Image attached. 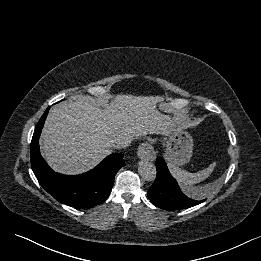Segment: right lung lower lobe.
Returning <instances> with one entry per match:
<instances>
[{
    "label": "right lung lower lobe",
    "mask_w": 261,
    "mask_h": 261,
    "mask_svg": "<svg viewBox=\"0 0 261 261\" xmlns=\"http://www.w3.org/2000/svg\"><path fill=\"white\" fill-rule=\"evenodd\" d=\"M50 107L38 121L31 141V166L40 185L58 201L76 208H91L104 202L112 189L117 171L125 166L123 155L113 153L94 169L80 175L54 172L39 150V137Z\"/></svg>",
    "instance_id": "98d812e1"
}]
</instances>
